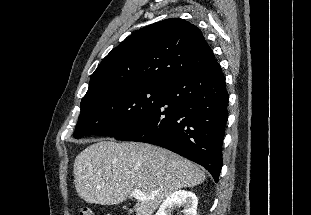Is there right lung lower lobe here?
I'll use <instances>...</instances> for the list:
<instances>
[{"mask_svg": "<svg viewBox=\"0 0 311 215\" xmlns=\"http://www.w3.org/2000/svg\"><path fill=\"white\" fill-rule=\"evenodd\" d=\"M163 88L160 105L115 139L169 149L206 168L217 182L229 99L219 63L171 79Z\"/></svg>", "mask_w": 311, "mask_h": 215, "instance_id": "right-lung-lower-lobe-1", "label": "right lung lower lobe"}]
</instances>
